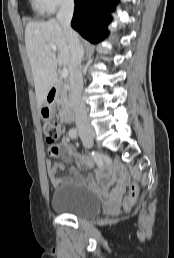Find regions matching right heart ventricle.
Listing matches in <instances>:
<instances>
[{
    "label": "right heart ventricle",
    "mask_w": 174,
    "mask_h": 258,
    "mask_svg": "<svg viewBox=\"0 0 174 258\" xmlns=\"http://www.w3.org/2000/svg\"><path fill=\"white\" fill-rule=\"evenodd\" d=\"M31 1H32V5L34 8H36L37 10H40V11L43 10L40 0H31Z\"/></svg>",
    "instance_id": "1"
}]
</instances>
